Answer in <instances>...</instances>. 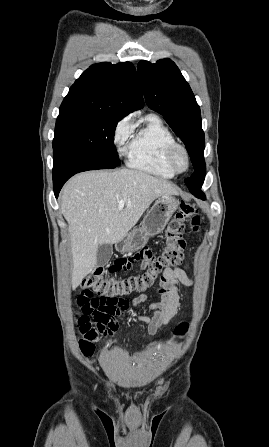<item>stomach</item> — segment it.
I'll list each match as a JSON object with an SVG mask.
<instances>
[{
    "instance_id": "obj_1",
    "label": "stomach",
    "mask_w": 269,
    "mask_h": 447,
    "mask_svg": "<svg viewBox=\"0 0 269 447\" xmlns=\"http://www.w3.org/2000/svg\"><path fill=\"white\" fill-rule=\"evenodd\" d=\"M178 206L179 200H176L173 196H160L150 212L146 214L141 227L132 229L121 243H116L118 251L125 253V251L141 249L143 245H146L150 235L161 233Z\"/></svg>"
}]
</instances>
